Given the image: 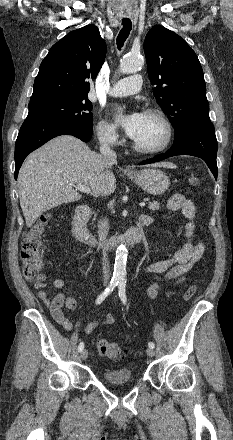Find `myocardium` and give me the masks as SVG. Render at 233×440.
Segmentation results:
<instances>
[{
  "label": "myocardium",
  "instance_id": "f54148a6",
  "mask_svg": "<svg viewBox=\"0 0 233 440\" xmlns=\"http://www.w3.org/2000/svg\"><path fill=\"white\" fill-rule=\"evenodd\" d=\"M144 114L149 115V116H153V117L157 118L162 123V125L164 126V129H165L164 140L162 141V143L160 145H158L156 147H152V148L143 147V146L139 145L138 143H136L134 140H132V148L136 152L141 153V154H146V155H154V154L161 153L169 147V145L173 139L172 124H171L170 120L168 119V117L166 116V114L159 109L149 108L144 111Z\"/></svg>",
  "mask_w": 233,
  "mask_h": 440
}]
</instances>
